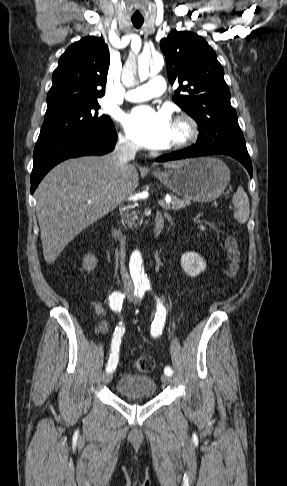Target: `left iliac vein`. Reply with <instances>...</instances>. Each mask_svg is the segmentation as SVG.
Instances as JSON below:
<instances>
[{
  "mask_svg": "<svg viewBox=\"0 0 287 486\" xmlns=\"http://www.w3.org/2000/svg\"><path fill=\"white\" fill-rule=\"evenodd\" d=\"M134 303H137L136 299H132ZM161 380L164 384H170L171 383V378L168 375H162Z\"/></svg>",
  "mask_w": 287,
  "mask_h": 486,
  "instance_id": "1",
  "label": "left iliac vein"
}]
</instances>
